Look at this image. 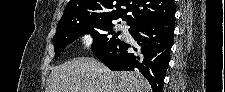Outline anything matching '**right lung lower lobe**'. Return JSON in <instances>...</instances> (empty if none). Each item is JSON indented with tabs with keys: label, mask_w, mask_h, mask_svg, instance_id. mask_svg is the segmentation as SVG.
I'll return each mask as SVG.
<instances>
[{
	"label": "right lung lower lobe",
	"mask_w": 225,
	"mask_h": 92,
	"mask_svg": "<svg viewBox=\"0 0 225 92\" xmlns=\"http://www.w3.org/2000/svg\"><path fill=\"white\" fill-rule=\"evenodd\" d=\"M175 17L141 21L129 29L137 42L134 51L124 41L94 52L111 70H138L149 81L153 92H162L173 45Z\"/></svg>",
	"instance_id": "obj_1"
}]
</instances>
